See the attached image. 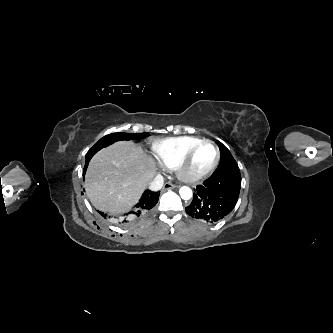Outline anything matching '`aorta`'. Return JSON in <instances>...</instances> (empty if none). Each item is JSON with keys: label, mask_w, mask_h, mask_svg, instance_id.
I'll list each match as a JSON object with an SVG mask.
<instances>
[{"label": "aorta", "mask_w": 333, "mask_h": 333, "mask_svg": "<svg viewBox=\"0 0 333 333\" xmlns=\"http://www.w3.org/2000/svg\"><path fill=\"white\" fill-rule=\"evenodd\" d=\"M179 193L184 200H189L192 197V190L187 186L181 187Z\"/></svg>", "instance_id": "aorta-1"}]
</instances>
